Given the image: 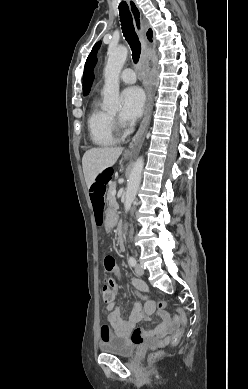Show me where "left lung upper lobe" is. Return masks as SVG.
I'll list each match as a JSON object with an SVG mask.
<instances>
[{
    "instance_id": "1",
    "label": "left lung upper lobe",
    "mask_w": 248,
    "mask_h": 389,
    "mask_svg": "<svg viewBox=\"0 0 248 389\" xmlns=\"http://www.w3.org/2000/svg\"><path fill=\"white\" fill-rule=\"evenodd\" d=\"M101 45V41L97 42L91 53L89 54L84 68V75H83V95H87L90 91V88L92 86V82L94 80V74L93 70L97 63L96 53Z\"/></svg>"
}]
</instances>
